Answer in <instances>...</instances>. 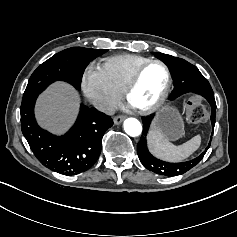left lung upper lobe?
<instances>
[{
	"instance_id": "5c2ea615",
	"label": "left lung upper lobe",
	"mask_w": 237,
	"mask_h": 237,
	"mask_svg": "<svg viewBox=\"0 0 237 237\" xmlns=\"http://www.w3.org/2000/svg\"><path fill=\"white\" fill-rule=\"evenodd\" d=\"M155 54L157 58H159L166 65H168L170 71L172 72L175 88L170 97L171 100H174L177 97L190 92L199 94L204 98L207 97L208 95L214 94L209 82L200 73V71L196 66L190 64L184 59L173 57L171 55L163 53H155ZM152 118L153 115L146 118H142L143 133L139 143L137 144L138 157L141 163L148 170L153 171L160 175L177 176L187 172L200 162V160L203 158L206 151L210 147V142L206 147L205 151L200 156L187 162L168 163L153 157L147 149L145 140V136L149 129V125L151 123Z\"/></svg>"
}]
</instances>
